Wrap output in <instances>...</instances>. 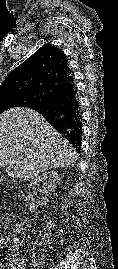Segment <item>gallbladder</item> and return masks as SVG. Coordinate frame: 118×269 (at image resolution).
Wrapping results in <instances>:
<instances>
[{"instance_id": "1", "label": "gallbladder", "mask_w": 118, "mask_h": 269, "mask_svg": "<svg viewBox=\"0 0 118 269\" xmlns=\"http://www.w3.org/2000/svg\"><path fill=\"white\" fill-rule=\"evenodd\" d=\"M6 172H8V173H9V172H10V169H9V168H7V169H6Z\"/></svg>"}]
</instances>
